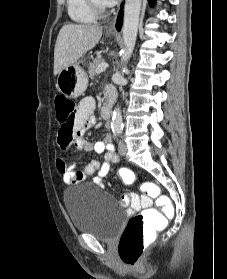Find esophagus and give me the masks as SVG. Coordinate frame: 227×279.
Instances as JSON below:
<instances>
[{
  "mask_svg": "<svg viewBox=\"0 0 227 279\" xmlns=\"http://www.w3.org/2000/svg\"><path fill=\"white\" fill-rule=\"evenodd\" d=\"M115 18L113 20H111L108 25L106 26L105 30L108 33H115L116 29H115Z\"/></svg>",
  "mask_w": 227,
  "mask_h": 279,
  "instance_id": "34e87169",
  "label": "esophagus"
}]
</instances>
